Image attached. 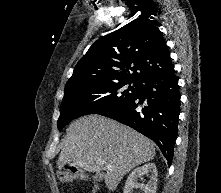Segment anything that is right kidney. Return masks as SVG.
<instances>
[{"mask_svg": "<svg viewBox=\"0 0 221 193\" xmlns=\"http://www.w3.org/2000/svg\"><path fill=\"white\" fill-rule=\"evenodd\" d=\"M148 176L149 181L147 184L138 183V178L142 176ZM157 168L154 163H148L141 167L136 168L128 176V179L125 183L123 193H132L134 188H140L144 193H156L157 189Z\"/></svg>", "mask_w": 221, "mask_h": 193, "instance_id": "ca27d5eb", "label": "right kidney"}]
</instances>
